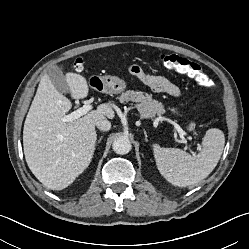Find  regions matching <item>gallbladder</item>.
Instances as JSON below:
<instances>
[{
    "mask_svg": "<svg viewBox=\"0 0 249 249\" xmlns=\"http://www.w3.org/2000/svg\"><path fill=\"white\" fill-rule=\"evenodd\" d=\"M47 75L50 77L51 81L53 82L55 88L60 93H69L70 89L66 82L65 75L63 71L58 66H53L47 71Z\"/></svg>",
    "mask_w": 249,
    "mask_h": 249,
    "instance_id": "bac80fb5",
    "label": "gallbladder"
}]
</instances>
